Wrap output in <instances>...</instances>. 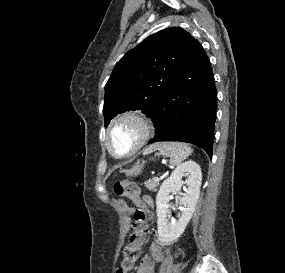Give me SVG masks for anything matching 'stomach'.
<instances>
[{
	"mask_svg": "<svg viewBox=\"0 0 285 273\" xmlns=\"http://www.w3.org/2000/svg\"><path fill=\"white\" fill-rule=\"evenodd\" d=\"M143 165H144V162L142 164H136L134 165L130 170H127L126 171V175L129 176H138L139 174H141L142 172V169H143Z\"/></svg>",
	"mask_w": 285,
	"mask_h": 273,
	"instance_id": "stomach-1",
	"label": "stomach"
}]
</instances>
